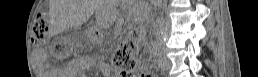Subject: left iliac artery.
Masks as SVG:
<instances>
[{
  "instance_id": "obj_1",
  "label": "left iliac artery",
  "mask_w": 258,
  "mask_h": 77,
  "mask_svg": "<svg viewBox=\"0 0 258 77\" xmlns=\"http://www.w3.org/2000/svg\"><path fill=\"white\" fill-rule=\"evenodd\" d=\"M156 54L159 55V53H158L157 50L155 49V50H154V55H156Z\"/></svg>"
}]
</instances>
